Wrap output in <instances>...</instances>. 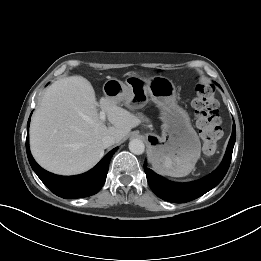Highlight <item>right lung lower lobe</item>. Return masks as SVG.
<instances>
[{"instance_id": "right-lung-lower-lobe-1", "label": "right lung lower lobe", "mask_w": 261, "mask_h": 261, "mask_svg": "<svg viewBox=\"0 0 261 261\" xmlns=\"http://www.w3.org/2000/svg\"><path fill=\"white\" fill-rule=\"evenodd\" d=\"M29 123L30 118L27 131ZM117 149L111 150L93 169L84 174L70 177L59 176L44 170L35 162L29 149V134L26 139V151L32 169L54 194L65 199L83 198L97 193L106 180L109 162Z\"/></svg>"}]
</instances>
